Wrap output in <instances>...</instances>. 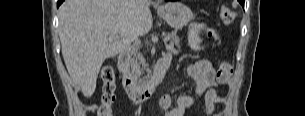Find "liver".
Instances as JSON below:
<instances>
[{
    "label": "liver",
    "mask_w": 305,
    "mask_h": 116,
    "mask_svg": "<svg viewBox=\"0 0 305 116\" xmlns=\"http://www.w3.org/2000/svg\"><path fill=\"white\" fill-rule=\"evenodd\" d=\"M151 0H65L59 8V37L68 73L85 97L96 89L103 62L146 34Z\"/></svg>",
    "instance_id": "obj_1"
}]
</instances>
